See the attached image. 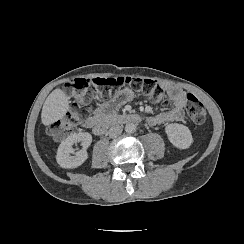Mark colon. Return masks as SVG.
Instances as JSON below:
<instances>
[{"label":"colon","mask_w":244,"mask_h":244,"mask_svg":"<svg viewBox=\"0 0 244 244\" xmlns=\"http://www.w3.org/2000/svg\"><path fill=\"white\" fill-rule=\"evenodd\" d=\"M122 87H134L156 101H164L165 93L162 88L155 85L150 79L118 76L90 79L81 76L77 79L67 81L63 87L65 96L71 100H77L74 104V112H68L65 117H61L56 122L50 124L46 131L50 137L66 138L71 136L77 122H84L88 118L87 106L97 99H110ZM100 91L92 92L93 89ZM186 116L195 124H203L206 121V112L202 103L192 94L188 95L186 102Z\"/></svg>","instance_id":"colon-1"}]
</instances>
